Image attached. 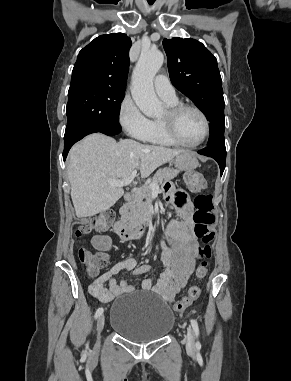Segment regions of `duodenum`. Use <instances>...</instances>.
<instances>
[{
    "label": "duodenum",
    "mask_w": 291,
    "mask_h": 381,
    "mask_svg": "<svg viewBox=\"0 0 291 381\" xmlns=\"http://www.w3.org/2000/svg\"><path fill=\"white\" fill-rule=\"evenodd\" d=\"M135 192L134 191H127L124 194V199L126 202H131L134 198ZM148 221L137 225V226H130L126 224L122 219H117L114 222V232L121 237L123 241H132L139 239L145 232L147 227Z\"/></svg>",
    "instance_id": "1"
}]
</instances>
